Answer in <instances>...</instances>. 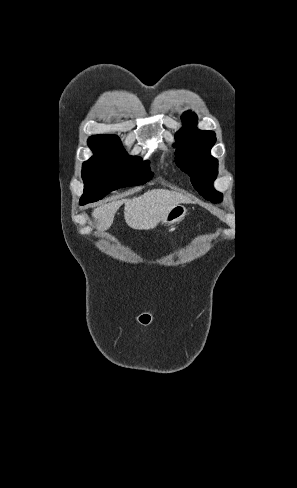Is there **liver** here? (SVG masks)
Masks as SVG:
<instances>
[{"label":"liver","instance_id":"6515ba94","mask_svg":"<svg viewBox=\"0 0 297 488\" xmlns=\"http://www.w3.org/2000/svg\"><path fill=\"white\" fill-rule=\"evenodd\" d=\"M184 202L189 199L178 192L155 189L139 197L103 204L94 209L92 215L98 221L97 229L104 231L110 228L117 210L125 204L127 225L135 230H148L161 222L171 208Z\"/></svg>","mask_w":297,"mask_h":488}]
</instances>
